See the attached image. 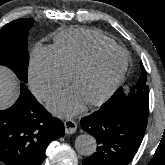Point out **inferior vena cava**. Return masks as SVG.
Here are the masks:
<instances>
[{"instance_id": "1", "label": "inferior vena cava", "mask_w": 165, "mask_h": 165, "mask_svg": "<svg viewBox=\"0 0 165 165\" xmlns=\"http://www.w3.org/2000/svg\"><path fill=\"white\" fill-rule=\"evenodd\" d=\"M50 94V91L48 89H43L40 91V93L38 94V97L40 99H43L45 97H47Z\"/></svg>"}]
</instances>
